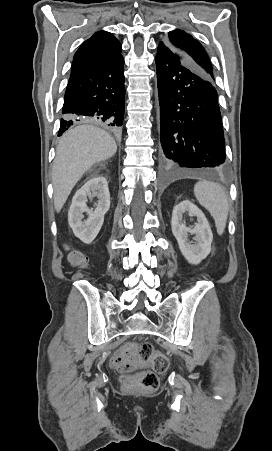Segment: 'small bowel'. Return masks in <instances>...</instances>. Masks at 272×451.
Listing matches in <instances>:
<instances>
[{
  "instance_id": "c3829d8e",
  "label": "small bowel",
  "mask_w": 272,
  "mask_h": 451,
  "mask_svg": "<svg viewBox=\"0 0 272 451\" xmlns=\"http://www.w3.org/2000/svg\"><path fill=\"white\" fill-rule=\"evenodd\" d=\"M137 343L135 341H128L124 345H122L120 348H135ZM115 356H118V350L115 353Z\"/></svg>"
}]
</instances>
